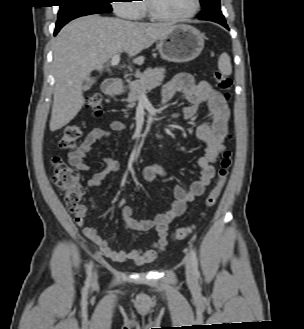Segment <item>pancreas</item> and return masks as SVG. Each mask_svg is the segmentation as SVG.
Listing matches in <instances>:
<instances>
[{
	"label": "pancreas",
	"instance_id": "1",
	"mask_svg": "<svg viewBox=\"0 0 304 329\" xmlns=\"http://www.w3.org/2000/svg\"><path fill=\"white\" fill-rule=\"evenodd\" d=\"M165 78V68H148L137 75V79L129 82V94L126 99L128 107H134L143 93L159 85Z\"/></svg>",
	"mask_w": 304,
	"mask_h": 329
}]
</instances>
